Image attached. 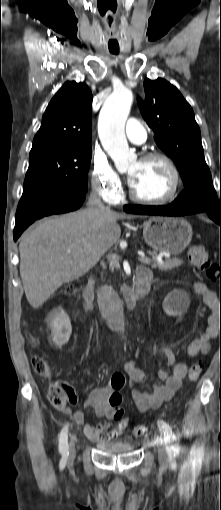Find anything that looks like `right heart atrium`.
I'll return each instance as SVG.
<instances>
[{
	"instance_id": "d8ad5b80",
	"label": "right heart atrium",
	"mask_w": 221,
	"mask_h": 510,
	"mask_svg": "<svg viewBox=\"0 0 221 510\" xmlns=\"http://www.w3.org/2000/svg\"><path fill=\"white\" fill-rule=\"evenodd\" d=\"M90 179L93 190L106 202L113 203L119 198L121 179L104 154H93Z\"/></svg>"
}]
</instances>
